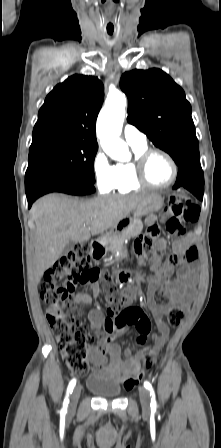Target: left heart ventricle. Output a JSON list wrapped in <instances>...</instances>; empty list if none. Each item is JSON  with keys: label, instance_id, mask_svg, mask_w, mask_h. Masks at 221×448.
Here are the masks:
<instances>
[{"label": "left heart ventricle", "instance_id": "b2bd125f", "mask_svg": "<svg viewBox=\"0 0 221 448\" xmlns=\"http://www.w3.org/2000/svg\"><path fill=\"white\" fill-rule=\"evenodd\" d=\"M147 175L154 184H165L172 178L173 169L164 156L155 154L148 162Z\"/></svg>", "mask_w": 221, "mask_h": 448}]
</instances>
